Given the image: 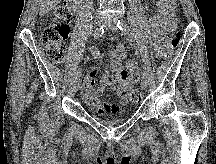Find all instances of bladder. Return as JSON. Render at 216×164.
Wrapping results in <instances>:
<instances>
[{
	"mask_svg": "<svg viewBox=\"0 0 216 164\" xmlns=\"http://www.w3.org/2000/svg\"><path fill=\"white\" fill-rule=\"evenodd\" d=\"M125 120L124 117L111 118V119H98V121L106 126H112L122 123Z\"/></svg>",
	"mask_w": 216,
	"mask_h": 164,
	"instance_id": "bladder-1",
	"label": "bladder"
}]
</instances>
